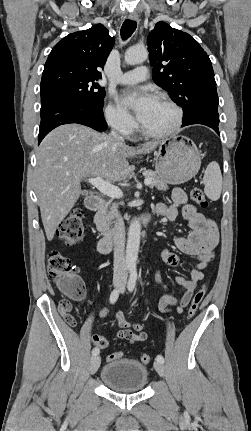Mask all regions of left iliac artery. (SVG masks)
Segmentation results:
<instances>
[{
	"instance_id": "left-iliac-artery-1",
	"label": "left iliac artery",
	"mask_w": 251,
	"mask_h": 431,
	"mask_svg": "<svg viewBox=\"0 0 251 431\" xmlns=\"http://www.w3.org/2000/svg\"><path fill=\"white\" fill-rule=\"evenodd\" d=\"M129 270H130V276H129V281H128L127 287H128V290L130 292H132L135 288V285H136L137 269L135 266H132V267H130ZM156 360L164 363V358L162 355H157Z\"/></svg>"
}]
</instances>
